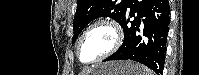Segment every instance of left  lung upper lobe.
<instances>
[{
	"label": "left lung upper lobe",
	"instance_id": "left-lung-upper-lobe-1",
	"mask_svg": "<svg viewBox=\"0 0 199 75\" xmlns=\"http://www.w3.org/2000/svg\"><path fill=\"white\" fill-rule=\"evenodd\" d=\"M129 2L130 0H77L72 43L75 42L82 29L98 17H111L120 24L126 14Z\"/></svg>",
	"mask_w": 199,
	"mask_h": 75
}]
</instances>
